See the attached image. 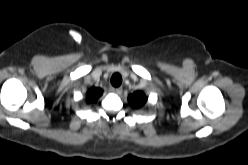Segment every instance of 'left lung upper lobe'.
<instances>
[{"instance_id": "1", "label": "left lung upper lobe", "mask_w": 248, "mask_h": 165, "mask_svg": "<svg viewBox=\"0 0 248 165\" xmlns=\"http://www.w3.org/2000/svg\"><path fill=\"white\" fill-rule=\"evenodd\" d=\"M128 100L133 108L138 109L146 103L147 97L143 92L138 91V92H134L133 94H130Z\"/></svg>"}]
</instances>
